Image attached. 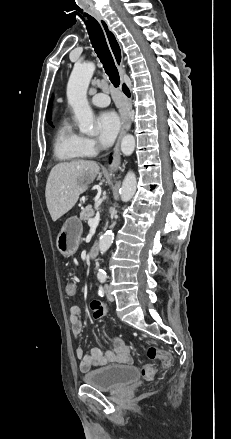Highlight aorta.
<instances>
[{
  "mask_svg": "<svg viewBox=\"0 0 231 439\" xmlns=\"http://www.w3.org/2000/svg\"><path fill=\"white\" fill-rule=\"evenodd\" d=\"M95 65L92 62L76 64L70 75L67 84V99L72 107L75 118L78 122L81 133L94 135V115L87 100V90L90 80L93 76ZM135 149V138L128 134L124 136L121 142V151L124 155L129 156ZM137 186L136 176L129 171L122 183L120 189L121 200L128 202L135 194ZM114 233L111 230L106 231L100 238L99 250L101 254L105 253L113 243ZM98 277L106 276L102 269L98 270Z\"/></svg>",
  "mask_w": 231,
  "mask_h": 439,
  "instance_id": "aorta-1",
  "label": "aorta"
}]
</instances>
